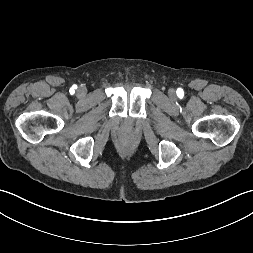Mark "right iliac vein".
<instances>
[{
	"instance_id": "63e3f726",
	"label": "right iliac vein",
	"mask_w": 253,
	"mask_h": 253,
	"mask_svg": "<svg viewBox=\"0 0 253 253\" xmlns=\"http://www.w3.org/2000/svg\"><path fill=\"white\" fill-rule=\"evenodd\" d=\"M86 88L85 87H79L78 90H77V94L78 96L82 97L86 94Z\"/></svg>"
}]
</instances>
